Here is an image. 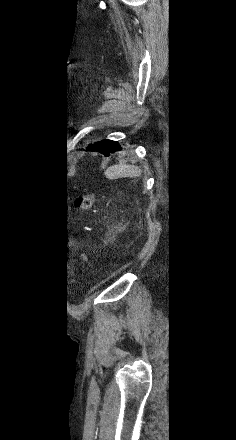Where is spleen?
I'll return each instance as SVG.
<instances>
[{
  "label": "spleen",
  "instance_id": "obj_1",
  "mask_svg": "<svg viewBox=\"0 0 236 440\" xmlns=\"http://www.w3.org/2000/svg\"><path fill=\"white\" fill-rule=\"evenodd\" d=\"M105 175L108 179H117L120 177H138L141 175V169L134 165H114L106 170Z\"/></svg>",
  "mask_w": 236,
  "mask_h": 440
}]
</instances>
